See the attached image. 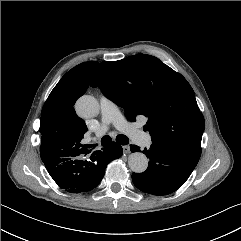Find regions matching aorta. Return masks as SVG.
Segmentation results:
<instances>
[{"mask_svg": "<svg viewBox=\"0 0 241 241\" xmlns=\"http://www.w3.org/2000/svg\"><path fill=\"white\" fill-rule=\"evenodd\" d=\"M77 114L83 118H92L99 113V103L90 95L81 96L75 105ZM130 169L135 173H143L148 167L147 157L140 152L132 153L128 159Z\"/></svg>", "mask_w": 241, "mask_h": 241, "instance_id": "1", "label": "aorta"}]
</instances>
